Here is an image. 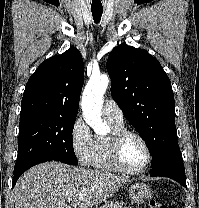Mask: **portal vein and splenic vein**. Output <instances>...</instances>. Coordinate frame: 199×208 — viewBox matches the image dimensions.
<instances>
[{"instance_id": "obj_1", "label": "portal vein and splenic vein", "mask_w": 199, "mask_h": 208, "mask_svg": "<svg viewBox=\"0 0 199 208\" xmlns=\"http://www.w3.org/2000/svg\"><path fill=\"white\" fill-rule=\"evenodd\" d=\"M70 201H72V198L69 197V198H68V202H70Z\"/></svg>"}]
</instances>
